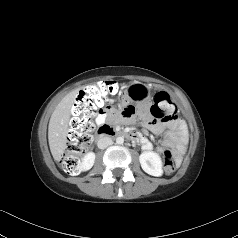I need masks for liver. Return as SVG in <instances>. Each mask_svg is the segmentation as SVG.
Here are the masks:
<instances>
[{
    "label": "liver",
    "mask_w": 238,
    "mask_h": 238,
    "mask_svg": "<svg viewBox=\"0 0 238 238\" xmlns=\"http://www.w3.org/2000/svg\"><path fill=\"white\" fill-rule=\"evenodd\" d=\"M80 89L68 93L56 106L48 126V142L55 161H60L67 143L71 108Z\"/></svg>",
    "instance_id": "obj_1"
}]
</instances>
